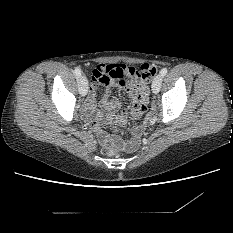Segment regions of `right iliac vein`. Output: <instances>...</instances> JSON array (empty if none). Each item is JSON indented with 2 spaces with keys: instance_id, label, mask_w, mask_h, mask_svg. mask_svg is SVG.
<instances>
[{
  "instance_id": "1",
  "label": "right iliac vein",
  "mask_w": 233,
  "mask_h": 233,
  "mask_svg": "<svg viewBox=\"0 0 233 233\" xmlns=\"http://www.w3.org/2000/svg\"><path fill=\"white\" fill-rule=\"evenodd\" d=\"M79 92L82 96H85L88 92V81L85 76H82L79 79Z\"/></svg>"
}]
</instances>
